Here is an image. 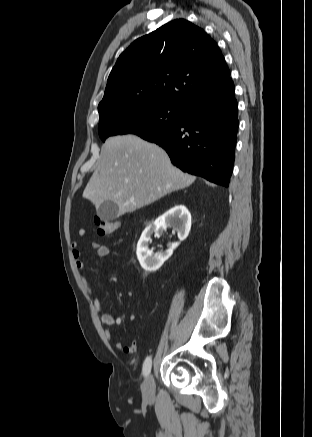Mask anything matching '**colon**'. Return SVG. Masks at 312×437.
<instances>
[{
	"label": "colon",
	"mask_w": 312,
	"mask_h": 437,
	"mask_svg": "<svg viewBox=\"0 0 312 437\" xmlns=\"http://www.w3.org/2000/svg\"><path fill=\"white\" fill-rule=\"evenodd\" d=\"M95 225L97 233L100 235H108L113 232H115L119 226L120 222L119 220H108L104 219L102 217H96L95 218Z\"/></svg>",
	"instance_id": "obj_1"
}]
</instances>
